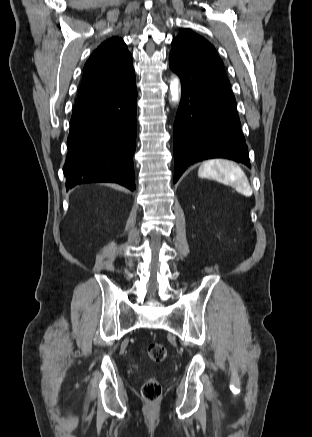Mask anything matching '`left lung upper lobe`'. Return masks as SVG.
I'll return each mask as SVG.
<instances>
[{"label":"left lung upper lobe","mask_w":312,"mask_h":437,"mask_svg":"<svg viewBox=\"0 0 312 437\" xmlns=\"http://www.w3.org/2000/svg\"><path fill=\"white\" fill-rule=\"evenodd\" d=\"M170 55L210 80L230 89L223 62L215 48L193 31L186 29L172 41Z\"/></svg>","instance_id":"obj_1"}]
</instances>
